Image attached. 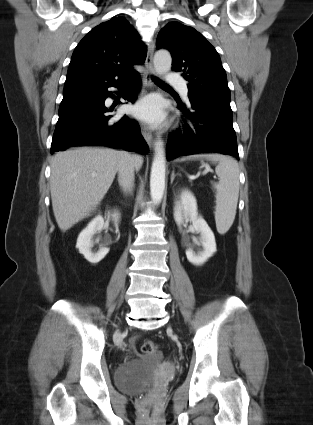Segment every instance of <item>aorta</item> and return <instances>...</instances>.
<instances>
[{
	"instance_id": "obj_1",
	"label": "aorta",
	"mask_w": 313,
	"mask_h": 425,
	"mask_svg": "<svg viewBox=\"0 0 313 425\" xmlns=\"http://www.w3.org/2000/svg\"><path fill=\"white\" fill-rule=\"evenodd\" d=\"M154 68L157 74L164 75L171 69L172 58L167 50H159L154 55ZM166 158L163 142H155V155L150 173V193L153 202L159 203L165 190Z\"/></svg>"
}]
</instances>
